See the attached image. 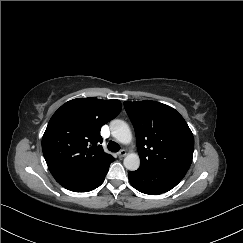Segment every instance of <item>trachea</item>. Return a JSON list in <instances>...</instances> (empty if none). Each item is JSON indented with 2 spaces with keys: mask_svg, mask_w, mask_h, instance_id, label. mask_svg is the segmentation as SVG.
Returning a JSON list of instances; mask_svg holds the SVG:
<instances>
[{
  "mask_svg": "<svg viewBox=\"0 0 243 243\" xmlns=\"http://www.w3.org/2000/svg\"><path fill=\"white\" fill-rule=\"evenodd\" d=\"M108 149L112 152H118L120 150V146L117 143L110 141L108 143Z\"/></svg>",
  "mask_w": 243,
  "mask_h": 243,
  "instance_id": "trachea-1",
  "label": "trachea"
}]
</instances>
